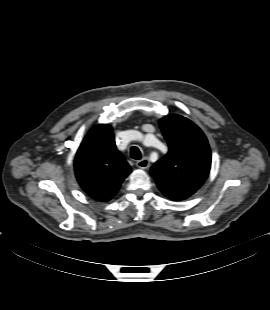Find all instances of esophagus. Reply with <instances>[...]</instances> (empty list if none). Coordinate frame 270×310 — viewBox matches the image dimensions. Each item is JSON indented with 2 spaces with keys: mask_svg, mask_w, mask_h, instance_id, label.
I'll return each instance as SVG.
<instances>
[{
  "mask_svg": "<svg viewBox=\"0 0 270 310\" xmlns=\"http://www.w3.org/2000/svg\"><path fill=\"white\" fill-rule=\"evenodd\" d=\"M137 167L140 169H147L150 166L149 160L147 158H143L136 163Z\"/></svg>",
  "mask_w": 270,
  "mask_h": 310,
  "instance_id": "34e87169",
  "label": "esophagus"
}]
</instances>
